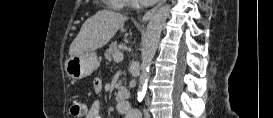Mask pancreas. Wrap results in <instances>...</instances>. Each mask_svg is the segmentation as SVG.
<instances>
[{
	"instance_id": "obj_1",
	"label": "pancreas",
	"mask_w": 273,
	"mask_h": 118,
	"mask_svg": "<svg viewBox=\"0 0 273 118\" xmlns=\"http://www.w3.org/2000/svg\"><path fill=\"white\" fill-rule=\"evenodd\" d=\"M117 52H120V49L119 47L117 46V43L116 42H113L110 44L109 48L106 50V52L104 53V56L105 58L108 60V61H111L112 58H113V55ZM120 85V83H119Z\"/></svg>"
}]
</instances>
